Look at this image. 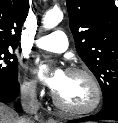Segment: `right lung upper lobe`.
Returning a JSON list of instances; mask_svg holds the SVG:
<instances>
[{
  "label": "right lung upper lobe",
  "instance_id": "cb5924a9",
  "mask_svg": "<svg viewBox=\"0 0 118 123\" xmlns=\"http://www.w3.org/2000/svg\"><path fill=\"white\" fill-rule=\"evenodd\" d=\"M28 9V0H0V48L18 45Z\"/></svg>",
  "mask_w": 118,
  "mask_h": 123
}]
</instances>
